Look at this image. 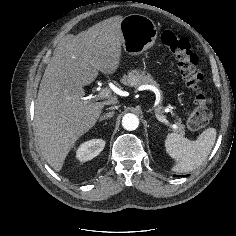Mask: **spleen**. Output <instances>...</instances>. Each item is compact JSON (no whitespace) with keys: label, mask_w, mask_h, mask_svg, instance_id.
<instances>
[{"label":"spleen","mask_w":236,"mask_h":236,"mask_svg":"<svg viewBox=\"0 0 236 236\" xmlns=\"http://www.w3.org/2000/svg\"><path fill=\"white\" fill-rule=\"evenodd\" d=\"M216 135V129L212 127L205 129L195 141L180 134L169 133L166 136L165 148L167 153L176 160L172 170L183 173L198 168L211 152Z\"/></svg>","instance_id":"1"}]
</instances>
